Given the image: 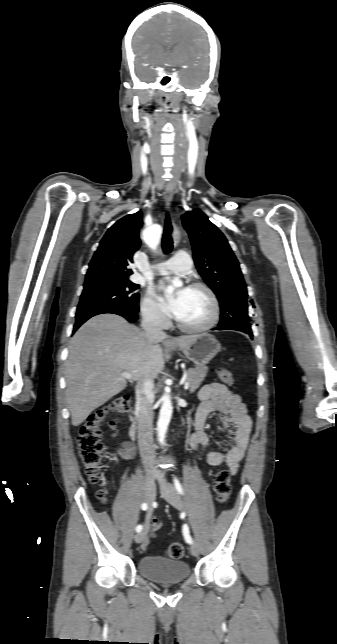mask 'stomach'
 Returning a JSON list of instances; mask_svg holds the SVG:
<instances>
[{
    "mask_svg": "<svg viewBox=\"0 0 337 644\" xmlns=\"http://www.w3.org/2000/svg\"><path fill=\"white\" fill-rule=\"evenodd\" d=\"M181 351L196 366L204 367L221 351V344L213 335L203 333L197 335L193 344L182 347Z\"/></svg>",
    "mask_w": 337,
    "mask_h": 644,
    "instance_id": "0dacf381",
    "label": "stomach"
}]
</instances>
